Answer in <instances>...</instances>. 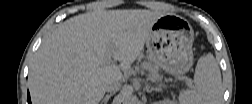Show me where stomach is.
Returning a JSON list of instances; mask_svg holds the SVG:
<instances>
[{"label":"stomach","instance_id":"obj_1","mask_svg":"<svg viewBox=\"0 0 252 104\" xmlns=\"http://www.w3.org/2000/svg\"><path fill=\"white\" fill-rule=\"evenodd\" d=\"M194 31L185 19L164 15L152 26L146 40L147 56L172 75L186 73L193 64Z\"/></svg>","mask_w":252,"mask_h":104}]
</instances>
